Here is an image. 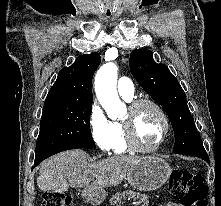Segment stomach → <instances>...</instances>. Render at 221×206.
Instances as JSON below:
<instances>
[{
	"label": "stomach",
	"mask_w": 221,
	"mask_h": 206,
	"mask_svg": "<svg viewBox=\"0 0 221 206\" xmlns=\"http://www.w3.org/2000/svg\"><path fill=\"white\" fill-rule=\"evenodd\" d=\"M172 169L168 163L155 156L142 158L127 174L128 183L139 191H154L169 180ZM84 201L96 206L102 203L106 197L102 187H90L84 189Z\"/></svg>",
	"instance_id": "obj_1"
}]
</instances>
